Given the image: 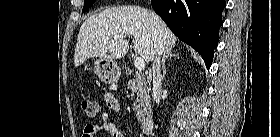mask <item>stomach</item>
<instances>
[{
	"instance_id": "0dacf381",
	"label": "stomach",
	"mask_w": 280,
	"mask_h": 137,
	"mask_svg": "<svg viewBox=\"0 0 280 137\" xmlns=\"http://www.w3.org/2000/svg\"><path fill=\"white\" fill-rule=\"evenodd\" d=\"M96 75L106 84L116 83L120 76V67L114 60L99 58L94 64Z\"/></svg>"
}]
</instances>
